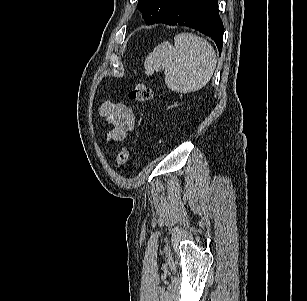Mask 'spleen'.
Returning <instances> with one entry per match:
<instances>
[{
    "mask_svg": "<svg viewBox=\"0 0 307 301\" xmlns=\"http://www.w3.org/2000/svg\"><path fill=\"white\" fill-rule=\"evenodd\" d=\"M175 45L163 42L145 60L147 75L165 70V83L174 92L189 93L204 87L211 79L217 59L211 44L193 33H180Z\"/></svg>",
    "mask_w": 307,
    "mask_h": 301,
    "instance_id": "1",
    "label": "spleen"
}]
</instances>
